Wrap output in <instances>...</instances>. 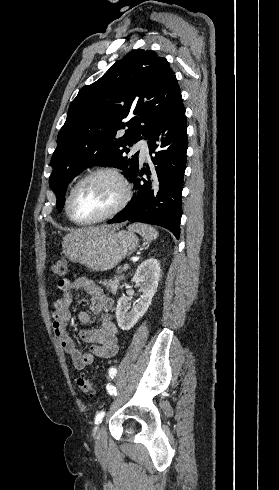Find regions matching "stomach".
I'll return each instance as SVG.
<instances>
[{"mask_svg":"<svg viewBox=\"0 0 279 490\" xmlns=\"http://www.w3.org/2000/svg\"><path fill=\"white\" fill-rule=\"evenodd\" d=\"M63 254L70 262L82 264L92 272H108L118 266L126 256H131L138 248V238L134 232L114 230L92 238L65 236Z\"/></svg>","mask_w":279,"mask_h":490,"instance_id":"stomach-1","label":"stomach"}]
</instances>
